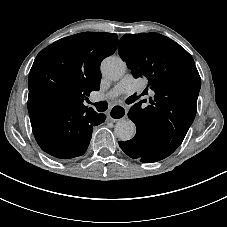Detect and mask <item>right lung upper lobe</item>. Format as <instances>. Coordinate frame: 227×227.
<instances>
[{"instance_id": "obj_1", "label": "right lung upper lobe", "mask_w": 227, "mask_h": 227, "mask_svg": "<svg viewBox=\"0 0 227 227\" xmlns=\"http://www.w3.org/2000/svg\"><path fill=\"white\" fill-rule=\"evenodd\" d=\"M117 43L113 33L83 32L40 51L29 73V115L43 101L57 110L87 109L84 99L99 90L100 63L115 52Z\"/></svg>"}]
</instances>
